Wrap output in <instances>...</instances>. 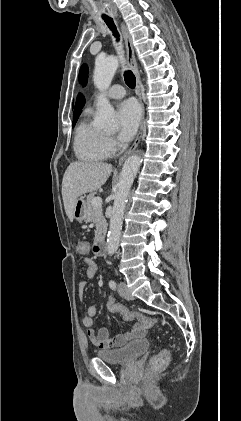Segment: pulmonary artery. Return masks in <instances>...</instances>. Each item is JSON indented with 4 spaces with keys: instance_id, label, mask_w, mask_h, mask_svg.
Masks as SVG:
<instances>
[{
    "instance_id": "1",
    "label": "pulmonary artery",
    "mask_w": 241,
    "mask_h": 421,
    "mask_svg": "<svg viewBox=\"0 0 241 421\" xmlns=\"http://www.w3.org/2000/svg\"><path fill=\"white\" fill-rule=\"evenodd\" d=\"M111 99H120L125 96V89L121 85H113L106 93Z\"/></svg>"
}]
</instances>
